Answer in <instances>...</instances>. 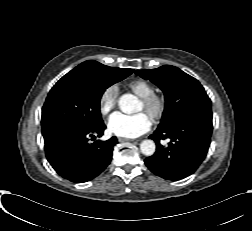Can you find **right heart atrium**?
Segmentation results:
<instances>
[{"label": "right heart atrium", "instance_id": "right-heart-atrium-1", "mask_svg": "<svg viewBox=\"0 0 252 231\" xmlns=\"http://www.w3.org/2000/svg\"><path fill=\"white\" fill-rule=\"evenodd\" d=\"M119 89L116 84L107 86L99 97V111L101 115H109L116 107Z\"/></svg>", "mask_w": 252, "mask_h": 231}]
</instances>
